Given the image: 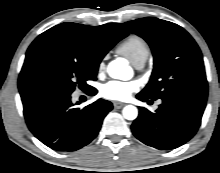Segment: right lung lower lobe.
<instances>
[{
  "instance_id": "obj_1",
  "label": "right lung lower lobe",
  "mask_w": 220,
  "mask_h": 173,
  "mask_svg": "<svg viewBox=\"0 0 220 173\" xmlns=\"http://www.w3.org/2000/svg\"><path fill=\"white\" fill-rule=\"evenodd\" d=\"M20 95L28 128L56 151H75L89 144L113 108L111 102L99 99L80 109L71 102L70 92L47 87L26 89Z\"/></svg>"
}]
</instances>
